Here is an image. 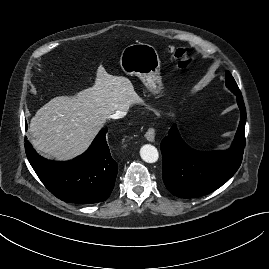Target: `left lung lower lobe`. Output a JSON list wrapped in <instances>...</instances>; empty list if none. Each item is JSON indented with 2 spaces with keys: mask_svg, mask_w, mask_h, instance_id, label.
<instances>
[{
  "mask_svg": "<svg viewBox=\"0 0 269 269\" xmlns=\"http://www.w3.org/2000/svg\"><path fill=\"white\" fill-rule=\"evenodd\" d=\"M234 94L240 108V123L230 149L213 152L194 150L181 139L176 125L162 140V177L173 195L194 198L209 194L238 170L245 147L246 110L241 92Z\"/></svg>",
  "mask_w": 269,
  "mask_h": 269,
  "instance_id": "left-lung-lower-lobe-1",
  "label": "left lung lower lobe"
}]
</instances>
